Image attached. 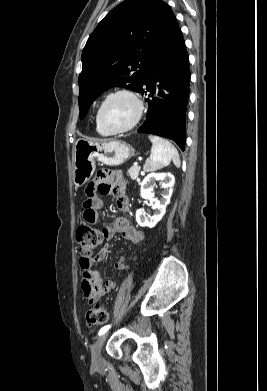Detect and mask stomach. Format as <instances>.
I'll return each mask as SVG.
<instances>
[{
    "mask_svg": "<svg viewBox=\"0 0 267 391\" xmlns=\"http://www.w3.org/2000/svg\"><path fill=\"white\" fill-rule=\"evenodd\" d=\"M135 155V150L119 140L95 141L78 139L73 150V183L83 186L93 175L96 160L107 166H119Z\"/></svg>",
    "mask_w": 267,
    "mask_h": 391,
    "instance_id": "stomach-1",
    "label": "stomach"
}]
</instances>
